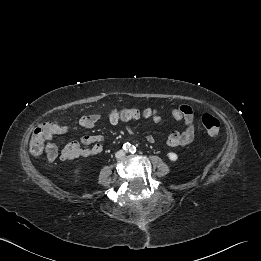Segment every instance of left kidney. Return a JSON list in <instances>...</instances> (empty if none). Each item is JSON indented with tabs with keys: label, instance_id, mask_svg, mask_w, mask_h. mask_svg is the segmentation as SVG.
<instances>
[{
	"label": "left kidney",
	"instance_id": "obj_1",
	"mask_svg": "<svg viewBox=\"0 0 261 261\" xmlns=\"http://www.w3.org/2000/svg\"><path fill=\"white\" fill-rule=\"evenodd\" d=\"M167 157L169 158L170 161H173V162L177 161V159H178V155L174 152L167 153Z\"/></svg>",
	"mask_w": 261,
	"mask_h": 261
}]
</instances>
